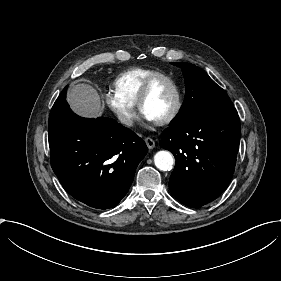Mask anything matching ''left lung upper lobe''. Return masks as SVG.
<instances>
[{
    "instance_id": "1",
    "label": "left lung upper lobe",
    "mask_w": 281,
    "mask_h": 281,
    "mask_svg": "<svg viewBox=\"0 0 281 281\" xmlns=\"http://www.w3.org/2000/svg\"><path fill=\"white\" fill-rule=\"evenodd\" d=\"M182 69L185 79L183 105L171 125L202 115L233 109L227 93L201 68L191 63L172 62Z\"/></svg>"
}]
</instances>
